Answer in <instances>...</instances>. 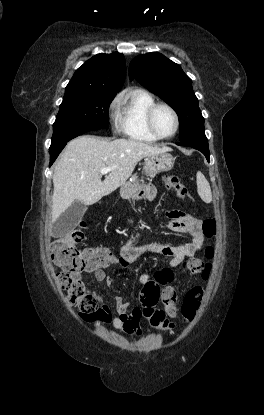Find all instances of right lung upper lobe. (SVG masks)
<instances>
[{"mask_svg":"<svg viewBox=\"0 0 264 415\" xmlns=\"http://www.w3.org/2000/svg\"><path fill=\"white\" fill-rule=\"evenodd\" d=\"M126 73L121 53L97 54L74 73L64 96L115 95L122 87Z\"/></svg>","mask_w":264,"mask_h":415,"instance_id":"cb5924a9","label":"right lung upper lobe"}]
</instances>
